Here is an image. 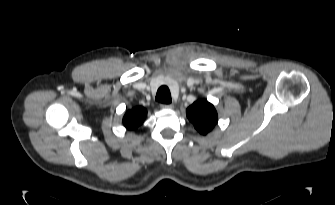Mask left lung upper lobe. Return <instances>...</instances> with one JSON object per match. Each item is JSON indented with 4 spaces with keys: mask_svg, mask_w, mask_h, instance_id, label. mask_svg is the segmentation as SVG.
<instances>
[{
    "mask_svg": "<svg viewBox=\"0 0 335 205\" xmlns=\"http://www.w3.org/2000/svg\"><path fill=\"white\" fill-rule=\"evenodd\" d=\"M188 119L199 133L206 135L217 123V112L207 100H198L186 110Z\"/></svg>",
    "mask_w": 335,
    "mask_h": 205,
    "instance_id": "obj_1",
    "label": "left lung upper lobe"
}]
</instances>
